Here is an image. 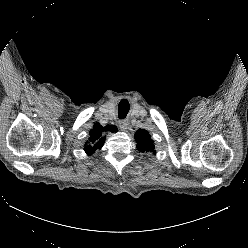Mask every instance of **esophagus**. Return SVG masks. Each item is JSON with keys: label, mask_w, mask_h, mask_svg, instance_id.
<instances>
[{"label": "esophagus", "mask_w": 248, "mask_h": 248, "mask_svg": "<svg viewBox=\"0 0 248 248\" xmlns=\"http://www.w3.org/2000/svg\"><path fill=\"white\" fill-rule=\"evenodd\" d=\"M119 127L122 131H126L129 128V121L127 120L119 121Z\"/></svg>", "instance_id": "esophagus-1"}]
</instances>
